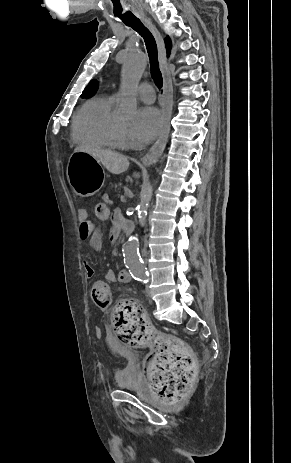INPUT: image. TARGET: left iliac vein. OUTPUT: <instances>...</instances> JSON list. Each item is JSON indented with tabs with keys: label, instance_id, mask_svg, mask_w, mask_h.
<instances>
[{
	"label": "left iliac vein",
	"instance_id": "obj_1",
	"mask_svg": "<svg viewBox=\"0 0 291 463\" xmlns=\"http://www.w3.org/2000/svg\"><path fill=\"white\" fill-rule=\"evenodd\" d=\"M146 295L147 296H150V290H149V287L146 288Z\"/></svg>",
	"mask_w": 291,
	"mask_h": 463
}]
</instances>
